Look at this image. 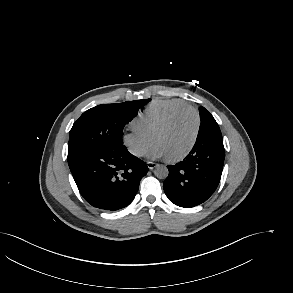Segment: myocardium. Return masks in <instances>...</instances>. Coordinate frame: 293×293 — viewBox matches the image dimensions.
I'll return each mask as SVG.
<instances>
[{
	"mask_svg": "<svg viewBox=\"0 0 293 293\" xmlns=\"http://www.w3.org/2000/svg\"><path fill=\"white\" fill-rule=\"evenodd\" d=\"M189 112L193 113V115L195 116V120H196V127H195L193 139H192L190 145L187 147V149L184 152H182L181 154L174 156V157H166V159L169 162L175 163V162L182 161L194 149V147L197 143L199 133H200V128H201V117H200V114L197 111V109H195L192 106H187V107H184V108H181V109L174 111L156 128V130L153 132V134L151 136V141L154 142L155 138L160 133H162L164 130H166L178 116L185 114V113H189Z\"/></svg>",
	"mask_w": 293,
	"mask_h": 293,
	"instance_id": "1",
	"label": "myocardium"
}]
</instances>
